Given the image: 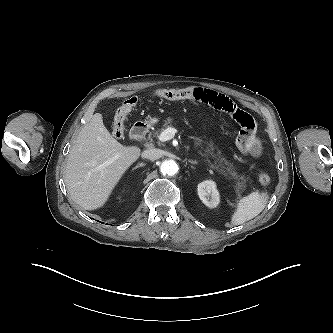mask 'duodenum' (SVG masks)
Segmentation results:
<instances>
[{
  "mask_svg": "<svg viewBox=\"0 0 333 333\" xmlns=\"http://www.w3.org/2000/svg\"><path fill=\"white\" fill-rule=\"evenodd\" d=\"M148 131V125L146 123L135 124L130 131V138L137 140L142 138Z\"/></svg>",
  "mask_w": 333,
  "mask_h": 333,
  "instance_id": "obj_1",
  "label": "duodenum"
}]
</instances>
